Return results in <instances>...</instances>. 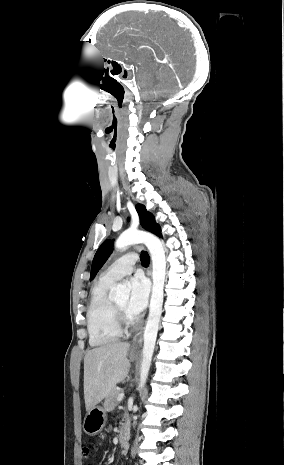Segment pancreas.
<instances>
[{
	"instance_id": "obj_1",
	"label": "pancreas",
	"mask_w": 284,
	"mask_h": 465,
	"mask_svg": "<svg viewBox=\"0 0 284 465\" xmlns=\"http://www.w3.org/2000/svg\"><path fill=\"white\" fill-rule=\"evenodd\" d=\"M121 393H123V389H117V387H114V389L108 393L107 397H105V403H103V405L107 413L114 411L115 407H117L118 403L116 399L118 395H121Z\"/></svg>"
}]
</instances>
